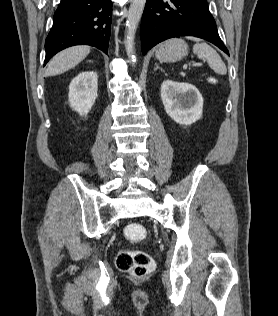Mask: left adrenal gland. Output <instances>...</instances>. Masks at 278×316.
<instances>
[{"instance_id":"left-adrenal-gland-1","label":"left adrenal gland","mask_w":278,"mask_h":316,"mask_svg":"<svg viewBox=\"0 0 278 316\" xmlns=\"http://www.w3.org/2000/svg\"><path fill=\"white\" fill-rule=\"evenodd\" d=\"M157 69H160L162 72H164V70H163L162 68H160L157 63H155V68H154V70L156 71Z\"/></svg>"}]
</instances>
